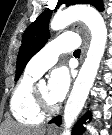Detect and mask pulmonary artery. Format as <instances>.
I'll list each match as a JSON object with an SVG mask.
<instances>
[{"instance_id": "obj_1", "label": "pulmonary artery", "mask_w": 112, "mask_h": 135, "mask_svg": "<svg viewBox=\"0 0 112 135\" xmlns=\"http://www.w3.org/2000/svg\"><path fill=\"white\" fill-rule=\"evenodd\" d=\"M79 46V37L75 33H65L46 44L28 63L26 72L41 76L52 67L60 53L73 51Z\"/></svg>"}]
</instances>
